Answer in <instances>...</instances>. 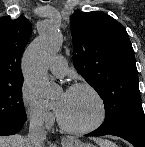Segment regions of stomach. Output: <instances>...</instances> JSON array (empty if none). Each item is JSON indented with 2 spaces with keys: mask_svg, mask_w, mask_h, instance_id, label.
<instances>
[{
  "mask_svg": "<svg viewBox=\"0 0 145 147\" xmlns=\"http://www.w3.org/2000/svg\"><path fill=\"white\" fill-rule=\"evenodd\" d=\"M63 147H94L92 144L82 143L78 140H72L67 144H64Z\"/></svg>",
  "mask_w": 145,
  "mask_h": 147,
  "instance_id": "0dacf381",
  "label": "stomach"
}]
</instances>
